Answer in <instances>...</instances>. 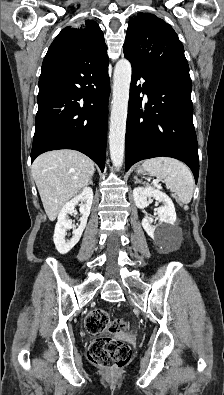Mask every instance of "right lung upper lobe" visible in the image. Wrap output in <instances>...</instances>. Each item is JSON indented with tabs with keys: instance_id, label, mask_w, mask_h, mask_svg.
Listing matches in <instances>:
<instances>
[{
	"instance_id": "right-lung-upper-lobe-1",
	"label": "right lung upper lobe",
	"mask_w": 224,
	"mask_h": 395,
	"mask_svg": "<svg viewBox=\"0 0 224 395\" xmlns=\"http://www.w3.org/2000/svg\"><path fill=\"white\" fill-rule=\"evenodd\" d=\"M52 55L88 64L108 60L103 32L92 20H86L81 27L64 28L50 45L45 57Z\"/></svg>"
}]
</instances>
